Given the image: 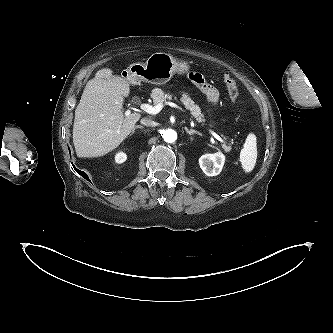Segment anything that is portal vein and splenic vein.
Instances as JSON below:
<instances>
[{
    "label": "portal vein and splenic vein",
    "instance_id": "18ae733b",
    "mask_svg": "<svg viewBox=\"0 0 333 333\" xmlns=\"http://www.w3.org/2000/svg\"><path fill=\"white\" fill-rule=\"evenodd\" d=\"M166 104L170 105L171 107H178L176 104L171 103V102H166ZM162 107H163L162 104H158V105H156V106H151V105H149V104H141V105H140V108H141L143 111H145V112H147V113H149V114H153V115L159 113V112L162 110ZM130 113H131L130 110H126V112H125L126 115H129ZM213 136H214L218 141H220V142H222V143L224 142L223 139H222L220 136H218L217 134L213 133Z\"/></svg>",
    "mask_w": 333,
    "mask_h": 333
}]
</instances>
